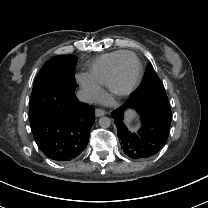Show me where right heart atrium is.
<instances>
[{"label": "right heart atrium", "mask_w": 208, "mask_h": 208, "mask_svg": "<svg viewBox=\"0 0 208 208\" xmlns=\"http://www.w3.org/2000/svg\"><path fill=\"white\" fill-rule=\"evenodd\" d=\"M77 79L90 99H102L104 95L102 88H100L88 75L80 74L77 76Z\"/></svg>", "instance_id": "right-heart-atrium-1"}]
</instances>
